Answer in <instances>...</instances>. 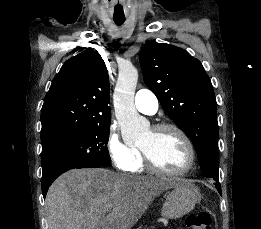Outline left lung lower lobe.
<instances>
[{"label":"left lung lower lobe","instance_id":"left-lung-lower-lobe-1","mask_svg":"<svg viewBox=\"0 0 261 229\" xmlns=\"http://www.w3.org/2000/svg\"><path fill=\"white\" fill-rule=\"evenodd\" d=\"M201 168H202L203 176H205L207 178H213L215 181H219L218 163H217L216 158H212V159L208 160L207 162L204 163L203 166H201ZM215 186H216L218 192L221 194L220 183L216 182Z\"/></svg>","mask_w":261,"mask_h":229}]
</instances>
